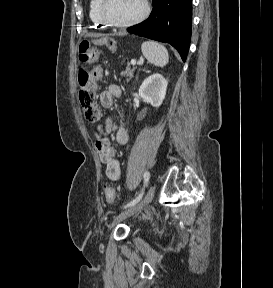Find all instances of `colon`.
I'll use <instances>...</instances> for the list:
<instances>
[{"label": "colon", "mask_w": 273, "mask_h": 288, "mask_svg": "<svg viewBox=\"0 0 273 288\" xmlns=\"http://www.w3.org/2000/svg\"><path fill=\"white\" fill-rule=\"evenodd\" d=\"M110 50H115V43L112 40L105 42ZM99 57L98 50L88 41L81 42L79 46V59L83 63H93ZM102 70L99 66L92 68L90 71L80 69L78 73L79 92L78 99L82 107L85 118L94 122L99 117L96 104L95 81L101 77ZM105 198L108 204L116 203V192L112 186L105 188Z\"/></svg>", "instance_id": "5ec220e1"}]
</instances>
